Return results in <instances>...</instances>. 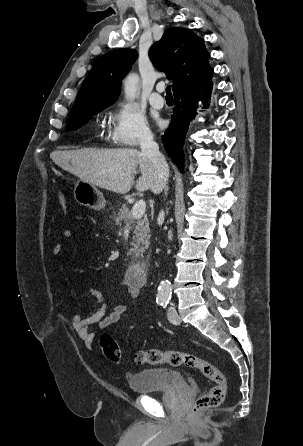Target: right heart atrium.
<instances>
[{
    "mask_svg": "<svg viewBox=\"0 0 303 446\" xmlns=\"http://www.w3.org/2000/svg\"><path fill=\"white\" fill-rule=\"evenodd\" d=\"M109 139L122 147H134L152 139L144 114L132 104L121 103L112 116Z\"/></svg>",
    "mask_w": 303,
    "mask_h": 446,
    "instance_id": "d8ad5b80",
    "label": "right heart atrium"
}]
</instances>
